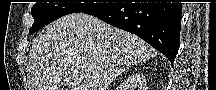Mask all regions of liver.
<instances>
[{
    "instance_id": "obj_1",
    "label": "liver",
    "mask_w": 216,
    "mask_h": 90,
    "mask_svg": "<svg viewBox=\"0 0 216 90\" xmlns=\"http://www.w3.org/2000/svg\"><path fill=\"white\" fill-rule=\"evenodd\" d=\"M152 56V48L135 34L88 14H68L33 40L30 90H109L126 68Z\"/></svg>"
}]
</instances>
